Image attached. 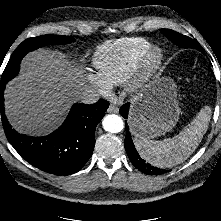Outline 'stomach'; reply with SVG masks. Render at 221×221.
Wrapping results in <instances>:
<instances>
[{
	"mask_svg": "<svg viewBox=\"0 0 221 221\" xmlns=\"http://www.w3.org/2000/svg\"><path fill=\"white\" fill-rule=\"evenodd\" d=\"M179 116L175 82L158 75L144 84L132 99L129 127L135 137L152 139L171 131Z\"/></svg>",
	"mask_w": 221,
	"mask_h": 221,
	"instance_id": "0dacf381",
	"label": "stomach"
}]
</instances>
